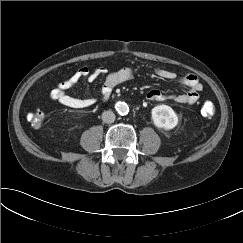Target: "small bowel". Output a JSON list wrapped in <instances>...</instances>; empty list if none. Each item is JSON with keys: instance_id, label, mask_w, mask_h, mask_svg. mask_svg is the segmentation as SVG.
Returning <instances> with one entry per match:
<instances>
[{"instance_id": "1", "label": "small bowel", "mask_w": 243, "mask_h": 243, "mask_svg": "<svg viewBox=\"0 0 243 243\" xmlns=\"http://www.w3.org/2000/svg\"><path fill=\"white\" fill-rule=\"evenodd\" d=\"M133 70L124 67L108 72L103 67H96L93 70L87 67L78 69L71 77L60 82L50 91L51 99L72 109H84L95 104L94 98H78L68 94L66 91L74 88L79 81L86 79L89 82L94 81L99 76H104L101 87V96L103 101H107L113 89L119 84L133 78ZM156 75L165 80H173L177 77L176 73L167 69H157ZM181 83L187 88L182 94H166L160 90L153 89L147 93V99L153 102H164L169 99L178 104H194L199 99V93L202 90V84L194 74H186L181 77Z\"/></svg>"}]
</instances>
